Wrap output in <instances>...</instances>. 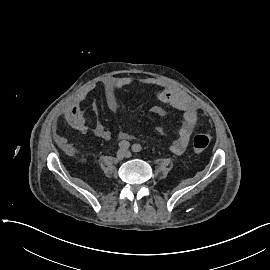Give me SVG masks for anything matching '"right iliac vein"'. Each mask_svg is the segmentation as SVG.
Instances as JSON below:
<instances>
[{"label":"right iliac vein","instance_id":"63e3f726","mask_svg":"<svg viewBox=\"0 0 270 270\" xmlns=\"http://www.w3.org/2000/svg\"><path fill=\"white\" fill-rule=\"evenodd\" d=\"M124 157H126V151L124 149H120L118 150L117 154H116V159L118 161H121L124 159Z\"/></svg>","mask_w":270,"mask_h":270}]
</instances>
